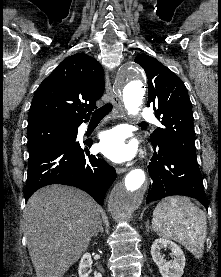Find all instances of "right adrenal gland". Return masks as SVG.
Returning a JSON list of instances; mask_svg holds the SVG:
<instances>
[{
  "label": "right adrenal gland",
  "instance_id": "1",
  "mask_svg": "<svg viewBox=\"0 0 221 277\" xmlns=\"http://www.w3.org/2000/svg\"><path fill=\"white\" fill-rule=\"evenodd\" d=\"M99 232H101V233L104 232V229H103V226H102V222H100L98 230L95 232V234L93 236L96 237Z\"/></svg>",
  "mask_w": 221,
  "mask_h": 277
}]
</instances>
